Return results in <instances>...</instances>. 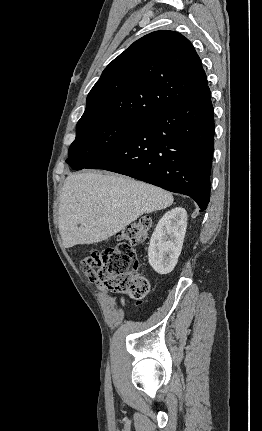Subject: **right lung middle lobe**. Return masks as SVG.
I'll return each instance as SVG.
<instances>
[{"label": "right lung middle lobe", "mask_w": 262, "mask_h": 431, "mask_svg": "<svg viewBox=\"0 0 262 431\" xmlns=\"http://www.w3.org/2000/svg\"><path fill=\"white\" fill-rule=\"evenodd\" d=\"M141 120H111L77 124L76 139L66 162L74 170L86 168L124 139Z\"/></svg>", "instance_id": "dd1d6c3e"}]
</instances>
